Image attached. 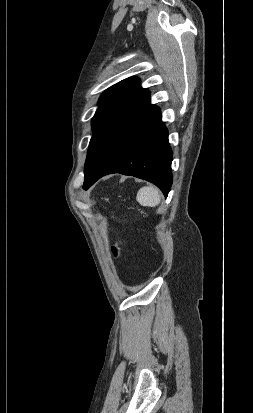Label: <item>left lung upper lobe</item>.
Returning a JSON list of instances; mask_svg holds the SVG:
<instances>
[{
    "instance_id": "5c2ea615",
    "label": "left lung upper lobe",
    "mask_w": 253,
    "mask_h": 413,
    "mask_svg": "<svg viewBox=\"0 0 253 413\" xmlns=\"http://www.w3.org/2000/svg\"><path fill=\"white\" fill-rule=\"evenodd\" d=\"M149 95L134 77L120 81L101 95L92 119L94 133L85 163V180L99 171L126 137L156 108L151 105Z\"/></svg>"
}]
</instances>
